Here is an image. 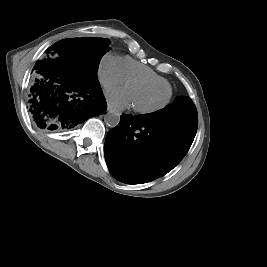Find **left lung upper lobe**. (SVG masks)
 Returning a JSON list of instances; mask_svg holds the SVG:
<instances>
[{
  "instance_id": "1",
  "label": "left lung upper lobe",
  "mask_w": 267,
  "mask_h": 267,
  "mask_svg": "<svg viewBox=\"0 0 267 267\" xmlns=\"http://www.w3.org/2000/svg\"><path fill=\"white\" fill-rule=\"evenodd\" d=\"M156 117H178L198 122L195 105L189 97H177L173 103L162 110L147 114Z\"/></svg>"
}]
</instances>
